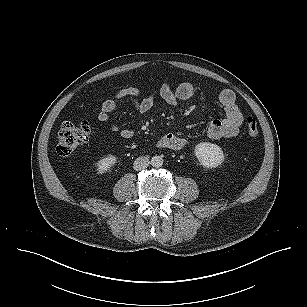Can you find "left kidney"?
Wrapping results in <instances>:
<instances>
[{"instance_id": "obj_1", "label": "left kidney", "mask_w": 307, "mask_h": 307, "mask_svg": "<svg viewBox=\"0 0 307 307\" xmlns=\"http://www.w3.org/2000/svg\"><path fill=\"white\" fill-rule=\"evenodd\" d=\"M195 156L203 167L216 168L224 161V154L216 144L201 142L195 146Z\"/></svg>"}]
</instances>
